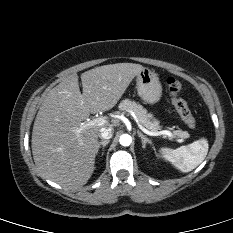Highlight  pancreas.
Wrapping results in <instances>:
<instances>
[{
	"label": "pancreas",
	"mask_w": 233,
	"mask_h": 233,
	"mask_svg": "<svg viewBox=\"0 0 233 233\" xmlns=\"http://www.w3.org/2000/svg\"><path fill=\"white\" fill-rule=\"evenodd\" d=\"M120 111L131 110L134 112L139 123L150 131H158L160 129L159 122L156 119H152V115L147 113V110L142 105L132 101L130 99L122 100L119 104ZM174 134L178 137L187 138L189 134L182 130H176Z\"/></svg>",
	"instance_id": "cf45deb5"
}]
</instances>
